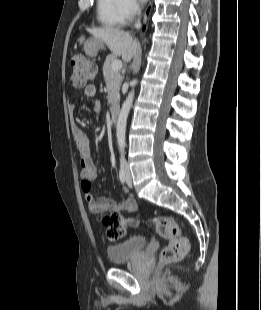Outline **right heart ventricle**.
<instances>
[{
  "label": "right heart ventricle",
  "instance_id": "obj_1",
  "mask_svg": "<svg viewBox=\"0 0 261 310\" xmlns=\"http://www.w3.org/2000/svg\"><path fill=\"white\" fill-rule=\"evenodd\" d=\"M118 5V0H97V20L102 26L117 28L125 24L119 13Z\"/></svg>",
  "mask_w": 261,
  "mask_h": 310
}]
</instances>
